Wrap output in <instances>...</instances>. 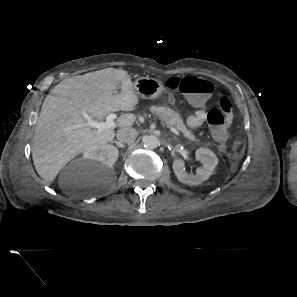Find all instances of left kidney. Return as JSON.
I'll use <instances>...</instances> for the list:
<instances>
[{
  "mask_svg": "<svg viewBox=\"0 0 297 297\" xmlns=\"http://www.w3.org/2000/svg\"><path fill=\"white\" fill-rule=\"evenodd\" d=\"M197 160H200L203 165L196 169V174L192 175L186 172L183 159L178 158L173 161V171L181 183L187 185H199L207 180L213 173L218 158L215 153L208 148H199L195 152Z\"/></svg>",
  "mask_w": 297,
  "mask_h": 297,
  "instance_id": "1",
  "label": "left kidney"
}]
</instances>
